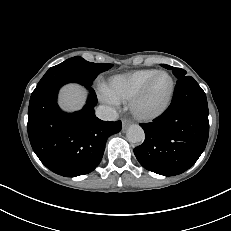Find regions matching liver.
<instances>
[{"instance_id": "liver-1", "label": "liver", "mask_w": 231, "mask_h": 231, "mask_svg": "<svg viewBox=\"0 0 231 231\" xmlns=\"http://www.w3.org/2000/svg\"><path fill=\"white\" fill-rule=\"evenodd\" d=\"M85 91L76 84L65 86L59 96L60 106L66 111L79 110L85 102Z\"/></svg>"}]
</instances>
